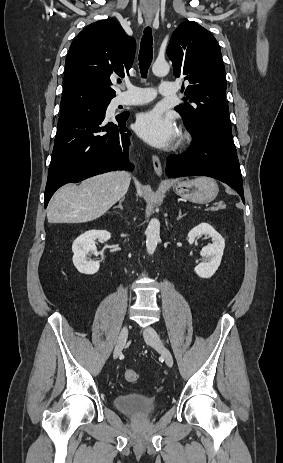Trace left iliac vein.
<instances>
[{
    "instance_id": "left-iliac-vein-1",
    "label": "left iliac vein",
    "mask_w": 283,
    "mask_h": 463,
    "mask_svg": "<svg viewBox=\"0 0 283 463\" xmlns=\"http://www.w3.org/2000/svg\"><path fill=\"white\" fill-rule=\"evenodd\" d=\"M143 336L147 344H149L161 353V355L165 359V363L167 364V366L172 367L173 356L169 349L165 347L164 344L161 342L158 333L152 327H147L143 331Z\"/></svg>"
}]
</instances>
